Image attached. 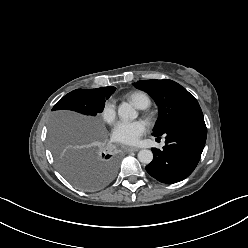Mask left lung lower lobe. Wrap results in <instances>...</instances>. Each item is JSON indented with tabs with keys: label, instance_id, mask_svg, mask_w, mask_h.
Listing matches in <instances>:
<instances>
[{
	"label": "left lung lower lobe",
	"instance_id": "1",
	"mask_svg": "<svg viewBox=\"0 0 248 248\" xmlns=\"http://www.w3.org/2000/svg\"><path fill=\"white\" fill-rule=\"evenodd\" d=\"M164 136L166 141L163 150L152 148L154 157L146 170L160 182L177 183L194 171L205 146L207 128L202 111L187 114Z\"/></svg>",
	"mask_w": 248,
	"mask_h": 248
}]
</instances>
